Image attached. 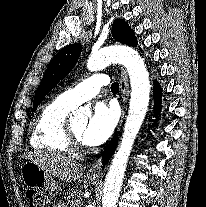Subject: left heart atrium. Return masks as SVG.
<instances>
[{"instance_id":"39dd6f15","label":"left heart atrium","mask_w":206,"mask_h":207,"mask_svg":"<svg viewBox=\"0 0 206 207\" xmlns=\"http://www.w3.org/2000/svg\"><path fill=\"white\" fill-rule=\"evenodd\" d=\"M118 122V110L115 106L98 103L82 134V141L90 146L104 143L113 133Z\"/></svg>"}]
</instances>
